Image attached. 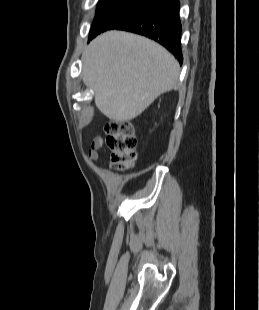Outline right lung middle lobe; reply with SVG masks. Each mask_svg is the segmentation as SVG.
Segmentation results:
<instances>
[{
  "mask_svg": "<svg viewBox=\"0 0 259 310\" xmlns=\"http://www.w3.org/2000/svg\"><path fill=\"white\" fill-rule=\"evenodd\" d=\"M159 0H110L98 4L89 39L115 29L134 16L154 7Z\"/></svg>",
  "mask_w": 259,
  "mask_h": 310,
  "instance_id": "right-lung-middle-lobe-1",
  "label": "right lung middle lobe"
}]
</instances>
